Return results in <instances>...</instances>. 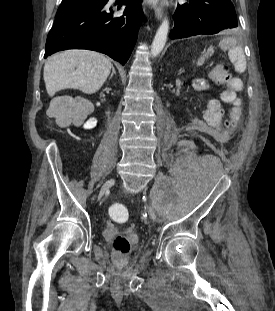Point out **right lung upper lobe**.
I'll return each mask as SVG.
<instances>
[{"mask_svg":"<svg viewBox=\"0 0 275 311\" xmlns=\"http://www.w3.org/2000/svg\"><path fill=\"white\" fill-rule=\"evenodd\" d=\"M63 1H69V0H62V2H63Z\"/></svg>","mask_w":275,"mask_h":311,"instance_id":"obj_1","label":"right lung upper lobe"}]
</instances>
